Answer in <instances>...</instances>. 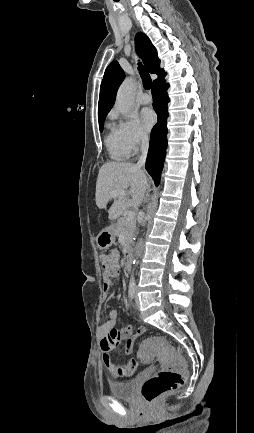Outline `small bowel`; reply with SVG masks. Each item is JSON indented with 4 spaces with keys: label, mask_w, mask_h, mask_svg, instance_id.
Returning a JSON list of instances; mask_svg holds the SVG:
<instances>
[{
    "label": "small bowel",
    "mask_w": 254,
    "mask_h": 433,
    "mask_svg": "<svg viewBox=\"0 0 254 433\" xmlns=\"http://www.w3.org/2000/svg\"><path fill=\"white\" fill-rule=\"evenodd\" d=\"M112 281L109 278H105L103 284V290L106 293ZM119 318V312L117 310H111L105 314L103 324L100 327L101 349L103 351V362L113 378H127L134 374L138 362L135 359H131L124 364H116L112 359V352L121 348L123 353L128 355L133 351L134 343L140 334L138 330L133 333L129 327L121 329H115V325Z\"/></svg>",
    "instance_id": "c3829d8e"
}]
</instances>
